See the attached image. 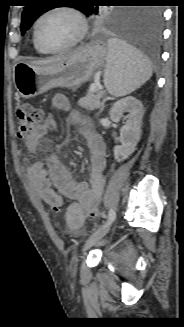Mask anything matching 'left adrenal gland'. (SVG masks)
<instances>
[{
  "mask_svg": "<svg viewBox=\"0 0 184 327\" xmlns=\"http://www.w3.org/2000/svg\"><path fill=\"white\" fill-rule=\"evenodd\" d=\"M106 100H107V98L103 99V101H102L101 111H103V109H104V103L106 102Z\"/></svg>",
  "mask_w": 184,
  "mask_h": 327,
  "instance_id": "left-adrenal-gland-1",
  "label": "left adrenal gland"
}]
</instances>
